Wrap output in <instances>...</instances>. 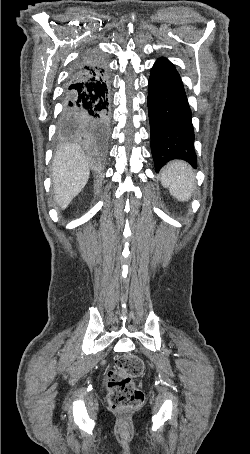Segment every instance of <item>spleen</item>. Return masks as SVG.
Returning <instances> with one entry per match:
<instances>
[{"label":"spleen","instance_id":"obj_1","mask_svg":"<svg viewBox=\"0 0 250 454\" xmlns=\"http://www.w3.org/2000/svg\"><path fill=\"white\" fill-rule=\"evenodd\" d=\"M161 183L169 188L172 196L184 202L191 198L195 186V175L187 163L173 161L163 169Z\"/></svg>","mask_w":250,"mask_h":454}]
</instances>
